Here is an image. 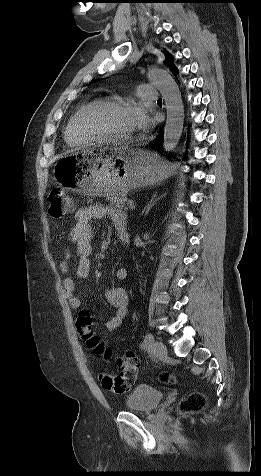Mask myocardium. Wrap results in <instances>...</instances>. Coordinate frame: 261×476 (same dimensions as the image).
<instances>
[{
	"mask_svg": "<svg viewBox=\"0 0 261 476\" xmlns=\"http://www.w3.org/2000/svg\"><path fill=\"white\" fill-rule=\"evenodd\" d=\"M131 101L123 99H97L80 109L76 117V129L79 135L90 142H125L130 139L128 135H116L108 132L91 130L86 125V118L93 111L99 109H111L121 107H132Z\"/></svg>",
	"mask_w": 261,
	"mask_h": 476,
	"instance_id": "1",
	"label": "myocardium"
}]
</instances>
